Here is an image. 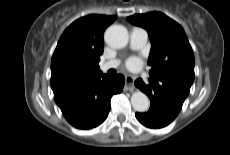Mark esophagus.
Segmentation results:
<instances>
[{
  "mask_svg": "<svg viewBox=\"0 0 230 155\" xmlns=\"http://www.w3.org/2000/svg\"><path fill=\"white\" fill-rule=\"evenodd\" d=\"M134 77L131 75L125 76V89L132 91L134 89Z\"/></svg>",
  "mask_w": 230,
  "mask_h": 155,
  "instance_id": "obj_1",
  "label": "esophagus"
}]
</instances>
